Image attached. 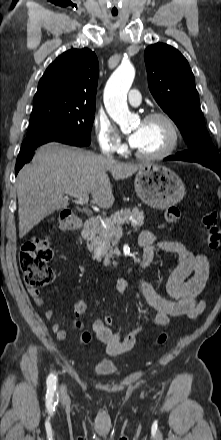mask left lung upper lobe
Instances as JSON below:
<instances>
[{"instance_id":"5c2ea615","label":"left lung upper lobe","mask_w":221,"mask_h":440,"mask_svg":"<svg viewBox=\"0 0 221 440\" xmlns=\"http://www.w3.org/2000/svg\"><path fill=\"white\" fill-rule=\"evenodd\" d=\"M144 60L152 95L178 126L190 149L177 155L184 161L221 169L220 154L206 129L194 75L185 57L167 44L156 43L146 48Z\"/></svg>"}]
</instances>
